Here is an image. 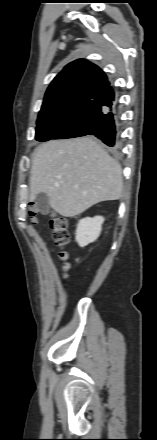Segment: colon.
I'll return each instance as SVG.
<instances>
[{
	"mask_svg": "<svg viewBox=\"0 0 157 440\" xmlns=\"http://www.w3.org/2000/svg\"><path fill=\"white\" fill-rule=\"evenodd\" d=\"M30 216L32 219H35L37 214L39 213V209L36 205H31L30 208ZM50 228L52 231L53 241L60 247H65L70 240V235L68 231V222L66 218L60 215L52 214L49 220ZM61 259L65 261V266L68 267L67 254L62 252Z\"/></svg>",
	"mask_w": 157,
	"mask_h": 440,
	"instance_id": "5ec220e1",
	"label": "colon"
}]
</instances>
